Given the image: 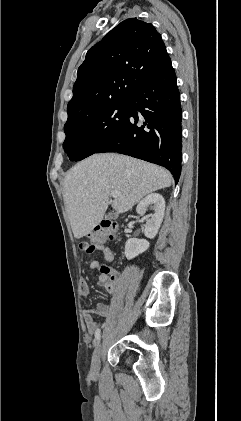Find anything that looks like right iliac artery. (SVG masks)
Returning a JSON list of instances; mask_svg holds the SVG:
<instances>
[{"instance_id":"right-iliac-artery-1","label":"right iliac artery","mask_w":241,"mask_h":421,"mask_svg":"<svg viewBox=\"0 0 241 421\" xmlns=\"http://www.w3.org/2000/svg\"><path fill=\"white\" fill-rule=\"evenodd\" d=\"M101 338V331L100 329H97V331L95 332V343H99Z\"/></svg>"}]
</instances>
